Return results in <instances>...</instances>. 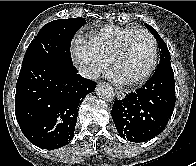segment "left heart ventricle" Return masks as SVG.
<instances>
[{"instance_id":"1","label":"left heart ventricle","mask_w":196,"mask_h":166,"mask_svg":"<svg viewBox=\"0 0 196 166\" xmlns=\"http://www.w3.org/2000/svg\"><path fill=\"white\" fill-rule=\"evenodd\" d=\"M151 58L152 46L149 37L141 32L135 33L117 67L116 74L123 80L135 78L146 70Z\"/></svg>"}]
</instances>
